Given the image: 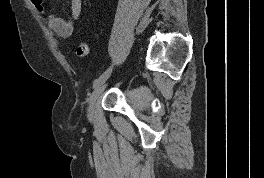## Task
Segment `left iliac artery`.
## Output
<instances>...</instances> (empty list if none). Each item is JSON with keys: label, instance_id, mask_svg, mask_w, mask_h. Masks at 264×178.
Returning a JSON list of instances; mask_svg holds the SVG:
<instances>
[{"label": "left iliac artery", "instance_id": "obj_1", "mask_svg": "<svg viewBox=\"0 0 264 178\" xmlns=\"http://www.w3.org/2000/svg\"><path fill=\"white\" fill-rule=\"evenodd\" d=\"M112 71V67L110 66L103 74H101L94 82L93 87L98 86L105 78L109 77Z\"/></svg>", "mask_w": 264, "mask_h": 178}]
</instances>
